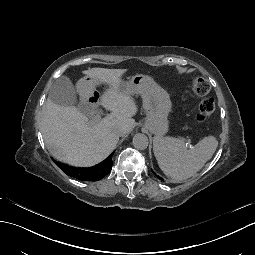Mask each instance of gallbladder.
Instances as JSON below:
<instances>
[{
  "label": "gallbladder",
  "mask_w": 255,
  "mask_h": 255,
  "mask_svg": "<svg viewBox=\"0 0 255 255\" xmlns=\"http://www.w3.org/2000/svg\"><path fill=\"white\" fill-rule=\"evenodd\" d=\"M121 89L123 88L121 87ZM49 99L61 106L75 105L77 103V96L71 80L66 76L57 78L49 91ZM77 109L84 115H90L92 106L87 102L79 103Z\"/></svg>",
  "instance_id": "bac80fb5"
}]
</instances>
